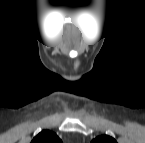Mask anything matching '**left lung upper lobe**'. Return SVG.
Wrapping results in <instances>:
<instances>
[{
	"label": "left lung upper lobe",
	"mask_w": 145,
	"mask_h": 143,
	"mask_svg": "<svg viewBox=\"0 0 145 143\" xmlns=\"http://www.w3.org/2000/svg\"><path fill=\"white\" fill-rule=\"evenodd\" d=\"M92 142L93 143H116L115 139L108 135L98 136Z\"/></svg>",
	"instance_id": "left-lung-upper-lobe-1"
}]
</instances>
